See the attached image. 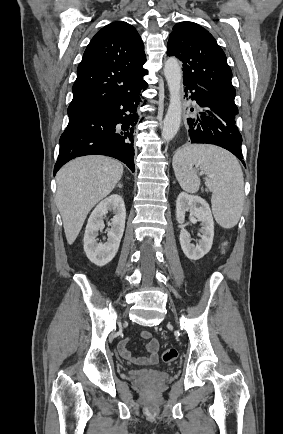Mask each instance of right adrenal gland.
<instances>
[{
	"label": "right adrenal gland",
	"instance_id": "obj_1",
	"mask_svg": "<svg viewBox=\"0 0 283 434\" xmlns=\"http://www.w3.org/2000/svg\"><path fill=\"white\" fill-rule=\"evenodd\" d=\"M119 188H122L123 186L121 185V183H119L118 185H117Z\"/></svg>",
	"mask_w": 283,
	"mask_h": 434
}]
</instances>
